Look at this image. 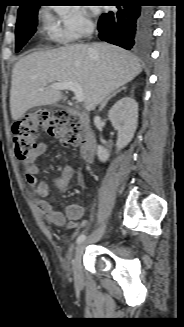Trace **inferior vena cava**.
<instances>
[{
	"mask_svg": "<svg viewBox=\"0 0 184 327\" xmlns=\"http://www.w3.org/2000/svg\"><path fill=\"white\" fill-rule=\"evenodd\" d=\"M93 30H94V27L89 25V26L86 27L85 31H86L87 35H91L93 33Z\"/></svg>",
	"mask_w": 184,
	"mask_h": 327,
	"instance_id": "inferior-vena-cava-1",
	"label": "inferior vena cava"
}]
</instances>
